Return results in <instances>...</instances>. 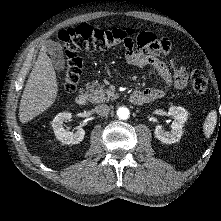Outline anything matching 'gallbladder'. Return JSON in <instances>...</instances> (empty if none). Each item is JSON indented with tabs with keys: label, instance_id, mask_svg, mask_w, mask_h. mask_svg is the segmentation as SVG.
<instances>
[{
	"label": "gallbladder",
	"instance_id": "obj_1",
	"mask_svg": "<svg viewBox=\"0 0 221 221\" xmlns=\"http://www.w3.org/2000/svg\"><path fill=\"white\" fill-rule=\"evenodd\" d=\"M46 50L50 56L52 64L57 71L65 68V59L62 46L59 42L49 40L45 43Z\"/></svg>",
	"mask_w": 221,
	"mask_h": 221
}]
</instances>
